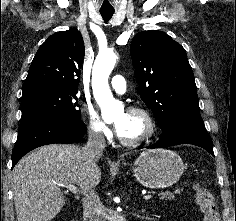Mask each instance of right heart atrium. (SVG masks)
Returning <instances> with one entry per match:
<instances>
[{"label":"right heart atrium","instance_id":"right-heart-atrium-1","mask_svg":"<svg viewBox=\"0 0 236 221\" xmlns=\"http://www.w3.org/2000/svg\"><path fill=\"white\" fill-rule=\"evenodd\" d=\"M85 123L88 134L94 140L103 142L112 138L113 133L110 126L91 105H88L85 109Z\"/></svg>","mask_w":236,"mask_h":221}]
</instances>
